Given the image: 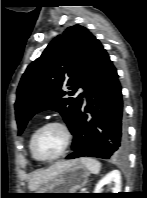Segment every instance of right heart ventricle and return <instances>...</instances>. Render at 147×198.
I'll use <instances>...</instances> for the list:
<instances>
[{"label":"right heart ventricle","mask_w":147,"mask_h":198,"mask_svg":"<svg viewBox=\"0 0 147 198\" xmlns=\"http://www.w3.org/2000/svg\"><path fill=\"white\" fill-rule=\"evenodd\" d=\"M31 136H32V135H31ZM30 140H31V137H30V139H29V150H30ZM30 153H31V151H30ZM31 156H32L33 159H35V158L33 157L32 153H31ZM35 160H36V159H35Z\"/></svg>","instance_id":"1"}]
</instances>
